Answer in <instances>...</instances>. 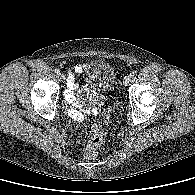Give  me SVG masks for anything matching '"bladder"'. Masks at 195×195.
<instances>
[{
	"mask_svg": "<svg viewBox=\"0 0 195 195\" xmlns=\"http://www.w3.org/2000/svg\"><path fill=\"white\" fill-rule=\"evenodd\" d=\"M116 85L117 75L114 68L109 64H100L88 81L90 93H94L95 95L112 91Z\"/></svg>",
	"mask_w": 195,
	"mask_h": 195,
	"instance_id": "bladder-1",
	"label": "bladder"
}]
</instances>
